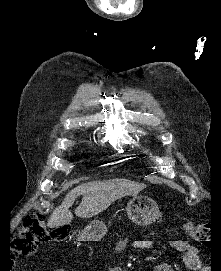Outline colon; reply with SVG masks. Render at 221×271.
Listing matches in <instances>:
<instances>
[{
	"mask_svg": "<svg viewBox=\"0 0 221 271\" xmlns=\"http://www.w3.org/2000/svg\"><path fill=\"white\" fill-rule=\"evenodd\" d=\"M187 227L194 241L204 245L212 241V233L205 223H188ZM67 234L66 226L50 225L46 215L35 210L24 217L21 227L12 237L10 247L14 257L27 256L39 244L58 240Z\"/></svg>",
	"mask_w": 221,
	"mask_h": 271,
	"instance_id": "5ec220e1",
	"label": "colon"
}]
</instances>
